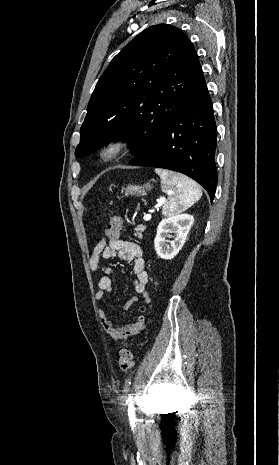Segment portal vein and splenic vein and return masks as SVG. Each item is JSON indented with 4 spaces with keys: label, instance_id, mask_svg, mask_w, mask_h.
I'll return each instance as SVG.
<instances>
[{
    "label": "portal vein and splenic vein",
    "instance_id": "18ae733b",
    "mask_svg": "<svg viewBox=\"0 0 279 465\" xmlns=\"http://www.w3.org/2000/svg\"><path fill=\"white\" fill-rule=\"evenodd\" d=\"M164 201H165V198H164V197L160 198V199L158 200V206L162 205V203H163ZM143 219H144L145 221H149V220L151 219V214H145L144 217H143Z\"/></svg>",
    "mask_w": 279,
    "mask_h": 465
}]
</instances>
